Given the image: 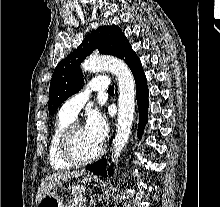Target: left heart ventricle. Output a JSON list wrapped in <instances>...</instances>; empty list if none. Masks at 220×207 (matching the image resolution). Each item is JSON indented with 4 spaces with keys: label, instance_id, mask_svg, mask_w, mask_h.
I'll return each mask as SVG.
<instances>
[{
    "label": "left heart ventricle",
    "instance_id": "1",
    "mask_svg": "<svg viewBox=\"0 0 220 207\" xmlns=\"http://www.w3.org/2000/svg\"><path fill=\"white\" fill-rule=\"evenodd\" d=\"M100 145L88 136L82 126H77L72 136V148L79 158H88L95 154Z\"/></svg>",
    "mask_w": 220,
    "mask_h": 207
}]
</instances>
